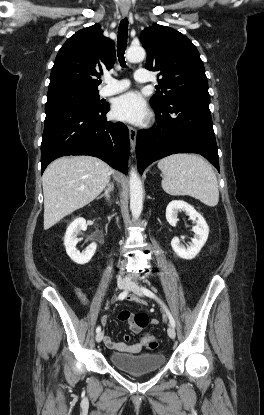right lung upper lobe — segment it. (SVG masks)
<instances>
[{
    "mask_svg": "<svg viewBox=\"0 0 264 415\" xmlns=\"http://www.w3.org/2000/svg\"><path fill=\"white\" fill-rule=\"evenodd\" d=\"M115 62V45L98 24L84 28L60 48L50 75L48 98L67 93H97L98 78Z\"/></svg>",
    "mask_w": 264,
    "mask_h": 415,
    "instance_id": "obj_1",
    "label": "right lung upper lobe"
}]
</instances>
